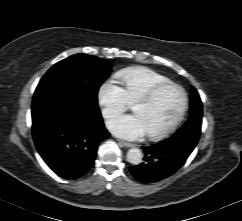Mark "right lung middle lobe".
Masks as SVG:
<instances>
[{"mask_svg":"<svg viewBox=\"0 0 242 221\" xmlns=\"http://www.w3.org/2000/svg\"><path fill=\"white\" fill-rule=\"evenodd\" d=\"M110 68L105 60L86 54H75L58 62L37 86L32 108L69 97L85 110L98 108V89Z\"/></svg>","mask_w":242,"mask_h":221,"instance_id":"right-lung-middle-lobe-1","label":"right lung middle lobe"}]
</instances>
